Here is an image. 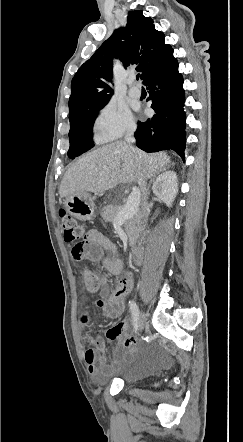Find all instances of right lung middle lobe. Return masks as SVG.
<instances>
[{"label": "right lung middle lobe", "mask_w": 243, "mask_h": 442, "mask_svg": "<svg viewBox=\"0 0 243 442\" xmlns=\"http://www.w3.org/2000/svg\"><path fill=\"white\" fill-rule=\"evenodd\" d=\"M105 105L84 112L70 120V148L68 151L69 158L74 159L82 153L90 150L94 146V142L92 139L93 124L97 113Z\"/></svg>", "instance_id": "1"}]
</instances>
